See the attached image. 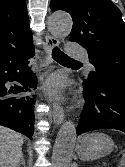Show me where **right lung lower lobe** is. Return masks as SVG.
<instances>
[{"label": "right lung lower lobe", "mask_w": 125, "mask_h": 167, "mask_svg": "<svg viewBox=\"0 0 125 167\" xmlns=\"http://www.w3.org/2000/svg\"><path fill=\"white\" fill-rule=\"evenodd\" d=\"M34 46L30 42L23 46L7 49L0 54V125L11 128L31 139L34 127V99L23 96L29 88H36V77L29 72L28 59L34 56ZM8 81L19 84L11 88Z\"/></svg>", "instance_id": "obj_1"}]
</instances>
